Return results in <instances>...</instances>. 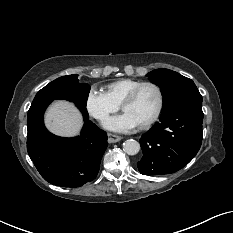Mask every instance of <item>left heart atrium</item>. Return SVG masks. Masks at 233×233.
Wrapping results in <instances>:
<instances>
[{
  "mask_svg": "<svg viewBox=\"0 0 233 233\" xmlns=\"http://www.w3.org/2000/svg\"><path fill=\"white\" fill-rule=\"evenodd\" d=\"M105 127L109 130L126 132L139 125V123L127 112L122 115L110 118L105 122Z\"/></svg>",
  "mask_w": 233,
  "mask_h": 233,
  "instance_id": "left-heart-atrium-1",
  "label": "left heart atrium"
}]
</instances>
